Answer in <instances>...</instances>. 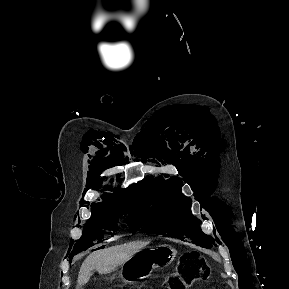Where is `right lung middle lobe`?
Masks as SVG:
<instances>
[{"mask_svg": "<svg viewBox=\"0 0 289 289\" xmlns=\"http://www.w3.org/2000/svg\"><path fill=\"white\" fill-rule=\"evenodd\" d=\"M93 214L84 226L82 237L73 247V255L100 242L107 230L116 231L120 218L126 220L134 232L140 227L141 219L137 207L133 203L93 206Z\"/></svg>", "mask_w": 289, "mask_h": 289, "instance_id": "right-lung-middle-lobe-1", "label": "right lung middle lobe"}]
</instances>
